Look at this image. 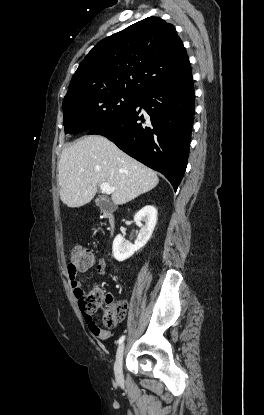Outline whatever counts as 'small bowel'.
Listing matches in <instances>:
<instances>
[{
	"label": "small bowel",
	"instance_id": "1",
	"mask_svg": "<svg viewBox=\"0 0 264 415\" xmlns=\"http://www.w3.org/2000/svg\"><path fill=\"white\" fill-rule=\"evenodd\" d=\"M96 269L98 273L100 274L104 273L106 270V262L104 260L97 261ZM86 270L87 268H80L74 274L69 273V278H70V283H71L73 294L79 299L83 296V287L81 284L80 275L85 273ZM91 331L93 332V334H95L99 338H106L109 335V332L106 329H103L101 327H99L98 329L91 327Z\"/></svg>",
	"mask_w": 264,
	"mask_h": 415
}]
</instances>
